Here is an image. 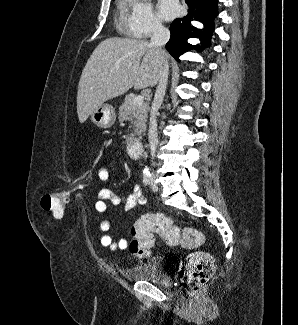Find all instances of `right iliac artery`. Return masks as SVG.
<instances>
[{"label": "right iliac artery", "instance_id": "obj_1", "mask_svg": "<svg viewBox=\"0 0 298 325\" xmlns=\"http://www.w3.org/2000/svg\"><path fill=\"white\" fill-rule=\"evenodd\" d=\"M143 182L145 185H149L151 183V174L150 172H144L143 174Z\"/></svg>", "mask_w": 298, "mask_h": 325}]
</instances>
